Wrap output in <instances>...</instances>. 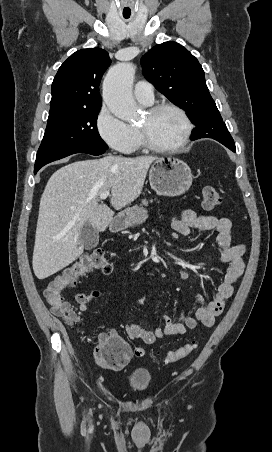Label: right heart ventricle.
I'll return each mask as SVG.
<instances>
[{
  "label": "right heart ventricle",
  "mask_w": 272,
  "mask_h": 452,
  "mask_svg": "<svg viewBox=\"0 0 272 452\" xmlns=\"http://www.w3.org/2000/svg\"><path fill=\"white\" fill-rule=\"evenodd\" d=\"M135 132H136V137L134 139V143H133V146H132V149L130 152L138 149L142 145L138 132L136 130H135Z\"/></svg>",
  "instance_id": "e07e8e85"
}]
</instances>
